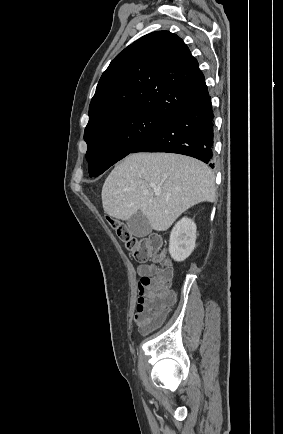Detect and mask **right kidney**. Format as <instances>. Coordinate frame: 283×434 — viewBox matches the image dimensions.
I'll use <instances>...</instances> for the list:
<instances>
[{
	"instance_id": "1",
	"label": "right kidney",
	"mask_w": 283,
	"mask_h": 434,
	"mask_svg": "<svg viewBox=\"0 0 283 434\" xmlns=\"http://www.w3.org/2000/svg\"><path fill=\"white\" fill-rule=\"evenodd\" d=\"M196 224L189 218L178 221L170 234L169 253L175 261H184L195 248Z\"/></svg>"
}]
</instances>
